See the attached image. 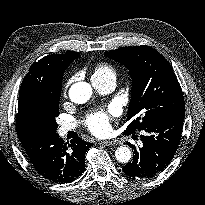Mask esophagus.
I'll return each instance as SVG.
<instances>
[{
    "mask_svg": "<svg viewBox=\"0 0 205 205\" xmlns=\"http://www.w3.org/2000/svg\"><path fill=\"white\" fill-rule=\"evenodd\" d=\"M100 144L104 146H115L118 144L117 140H107V141H101Z\"/></svg>",
    "mask_w": 205,
    "mask_h": 205,
    "instance_id": "1",
    "label": "esophagus"
}]
</instances>
